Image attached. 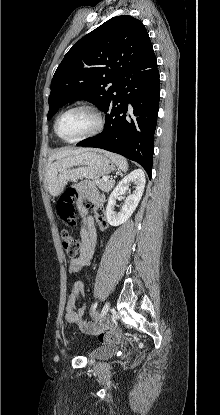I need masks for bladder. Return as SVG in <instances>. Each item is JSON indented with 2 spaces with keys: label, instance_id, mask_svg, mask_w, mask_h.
<instances>
[{
  "label": "bladder",
  "instance_id": "1",
  "mask_svg": "<svg viewBox=\"0 0 220 415\" xmlns=\"http://www.w3.org/2000/svg\"><path fill=\"white\" fill-rule=\"evenodd\" d=\"M117 350H118L117 345H108V346L96 349L93 352L92 356L94 358H106V357L114 355L117 352Z\"/></svg>",
  "mask_w": 220,
  "mask_h": 415
}]
</instances>
